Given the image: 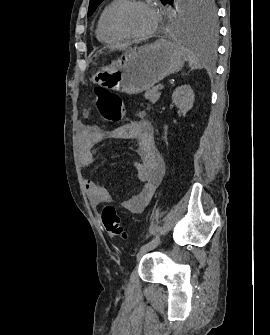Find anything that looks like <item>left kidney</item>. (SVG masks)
I'll use <instances>...</instances> for the list:
<instances>
[{
	"instance_id": "left-kidney-1",
	"label": "left kidney",
	"mask_w": 270,
	"mask_h": 335,
	"mask_svg": "<svg viewBox=\"0 0 270 335\" xmlns=\"http://www.w3.org/2000/svg\"><path fill=\"white\" fill-rule=\"evenodd\" d=\"M172 100L183 116L193 108L194 92L191 86H178L172 94Z\"/></svg>"
}]
</instances>
